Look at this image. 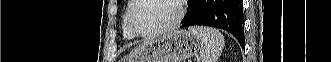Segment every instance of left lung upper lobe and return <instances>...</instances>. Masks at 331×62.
I'll use <instances>...</instances> for the list:
<instances>
[{
  "label": "left lung upper lobe",
  "instance_id": "left-lung-upper-lobe-1",
  "mask_svg": "<svg viewBox=\"0 0 331 62\" xmlns=\"http://www.w3.org/2000/svg\"><path fill=\"white\" fill-rule=\"evenodd\" d=\"M121 2V0H117V3H120Z\"/></svg>",
  "mask_w": 331,
  "mask_h": 62
}]
</instances>
